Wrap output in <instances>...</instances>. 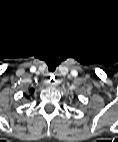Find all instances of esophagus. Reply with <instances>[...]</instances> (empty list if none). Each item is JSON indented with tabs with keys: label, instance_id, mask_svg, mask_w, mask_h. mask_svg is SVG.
Here are the masks:
<instances>
[{
	"label": "esophagus",
	"instance_id": "esophagus-1",
	"mask_svg": "<svg viewBox=\"0 0 118 142\" xmlns=\"http://www.w3.org/2000/svg\"><path fill=\"white\" fill-rule=\"evenodd\" d=\"M46 85L49 87H53L57 84V80L55 79V77L53 75H49L45 81Z\"/></svg>",
	"mask_w": 118,
	"mask_h": 142
}]
</instances>
